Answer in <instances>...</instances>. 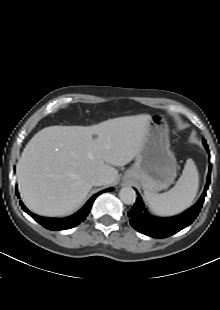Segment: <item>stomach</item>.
Returning <instances> with one entry per match:
<instances>
[{"label": "stomach", "instance_id": "obj_1", "mask_svg": "<svg viewBox=\"0 0 220 310\" xmlns=\"http://www.w3.org/2000/svg\"><path fill=\"white\" fill-rule=\"evenodd\" d=\"M177 175V162L170 150L169 129L162 115L151 117L141 151L125 172L124 181H137L146 192L167 189Z\"/></svg>", "mask_w": 220, "mask_h": 310}]
</instances>
